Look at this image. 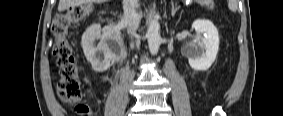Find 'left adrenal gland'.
<instances>
[{"instance_id":"1","label":"left adrenal gland","mask_w":283,"mask_h":116,"mask_svg":"<svg viewBox=\"0 0 283 116\" xmlns=\"http://www.w3.org/2000/svg\"><path fill=\"white\" fill-rule=\"evenodd\" d=\"M178 9H179V7H176V6L174 5V3H172V10H171V15H172V17L175 16V14H176V12L178 11Z\"/></svg>"}]
</instances>
